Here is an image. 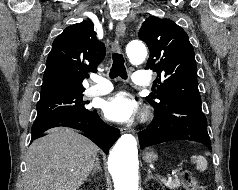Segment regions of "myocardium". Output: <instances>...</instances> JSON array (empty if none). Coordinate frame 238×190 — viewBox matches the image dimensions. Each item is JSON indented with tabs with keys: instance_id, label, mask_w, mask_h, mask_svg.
<instances>
[{
	"instance_id": "f54148a6",
	"label": "myocardium",
	"mask_w": 238,
	"mask_h": 190,
	"mask_svg": "<svg viewBox=\"0 0 238 190\" xmlns=\"http://www.w3.org/2000/svg\"><path fill=\"white\" fill-rule=\"evenodd\" d=\"M147 118V114H144V119H146Z\"/></svg>"
}]
</instances>
